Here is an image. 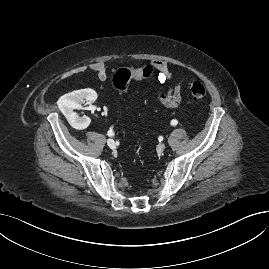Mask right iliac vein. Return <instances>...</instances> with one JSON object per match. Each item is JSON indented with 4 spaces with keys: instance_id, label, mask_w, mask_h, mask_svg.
Wrapping results in <instances>:
<instances>
[{
    "instance_id": "right-iliac-vein-1",
    "label": "right iliac vein",
    "mask_w": 269,
    "mask_h": 269,
    "mask_svg": "<svg viewBox=\"0 0 269 269\" xmlns=\"http://www.w3.org/2000/svg\"><path fill=\"white\" fill-rule=\"evenodd\" d=\"M107 145L111 148L114 149L115 148V142L113 139H108L107 140Z\"/></svg>"
}]
</instances>
